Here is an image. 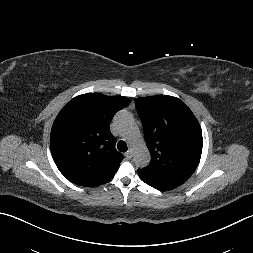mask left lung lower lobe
Returning a JSON list of instances; mask_svg holds the SVG:
<instances>
[{"instance_id":"left-lung-lower-lobe-1","label":"left lung lower lobe","mask_w":253,"mask_h":253,"mask_svg":"<svg viewBox=\"0 0 253 253\" xmlns=\"http://www.w3.org/2000/svg\"><path fill=\"white\" fill-rule=\"evenodd\" d=\"M140 178L142 181H144L148 185H150L153 188H156L158 190H171V189L178 187V185L167 183V182L150 181V180L144 179L142 177H140Z\"/></svg>"}]
</instances>
